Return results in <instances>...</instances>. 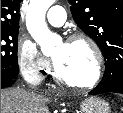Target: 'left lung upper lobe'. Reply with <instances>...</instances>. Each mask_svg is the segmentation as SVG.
Listing matches in <instances>:
<instances>
[{
	"label": "left lung upper lobe",
	"mask_w": 123,
	"mask_h": 113,
	"mask_svg": "<svg viewBox=\"0 0 123 113\" xmlns=\"http://www.w3.org/2000/svg\"><path fill=\"white\" fill-rule=\"evenodd\" d=\"M76 24L102 50L105 73L100 84L123 82V0H68Z\"/></svg>",
	"instance_id": "5c2ea615"
}]
</instances>
